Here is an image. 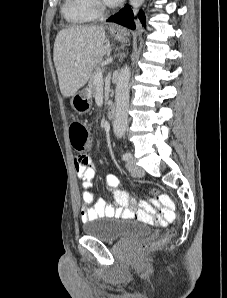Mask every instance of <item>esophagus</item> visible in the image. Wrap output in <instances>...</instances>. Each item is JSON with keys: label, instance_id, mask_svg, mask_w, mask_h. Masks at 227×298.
<instances>
[{"label": "esophagus", "instance_id": "esophagus-1", "mask_svg": "<svg viewBox=\"0 0 227 298\" xmlns=\"http://www.w3.org/2000/svg\"><path fill=\"white\" fill-rule=\"evenodd\" d=\"M110 29H111L112 31H117V30H118V27H116V26H111Z\"/></svg>", "mask_w": 227, "mask_h": 298}]
</instances>
